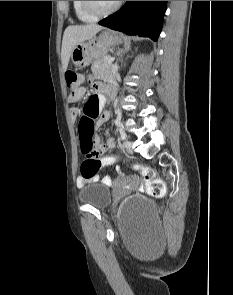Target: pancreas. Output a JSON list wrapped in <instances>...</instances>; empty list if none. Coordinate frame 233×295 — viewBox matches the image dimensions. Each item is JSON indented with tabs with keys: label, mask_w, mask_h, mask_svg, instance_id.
<instances>
[{
	"label": "pancreas",
	"mask_w": 233,
	"mask_h": 295,
	"mask_svg": "<svg viewBox=\"0 0 233 295\" xmlns=\"http://www.w3.org/2000/svg\"><path fill=\"white\" fill-rule=\"evenodd\" d=\"M91 70L94 76L103 78L106 75L112 76V64L108 63V58H101L93 62Z\"/></svg>",
	"instance_id": "cf45deb5"
}]
</instances>
